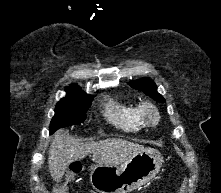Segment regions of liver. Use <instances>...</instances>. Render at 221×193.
Masks as SVG:
<instances>
[{
  "mask_svg": "<svg viewBox=\"0 0 221 193\" xmlns=\"http://www.w3.org/2000/svg\"><path fill=\"white\" fill-rule=\"evenodd\" d=\"M144 149L140 144L116 138L83 143L59 130L53 135L48 151L49 172L55 181L60 182L71 163L90 153L97 165L118 166Z\"/></svg>",
  "mask_w": 221,
  "mask_h": 193,
  "instance_id": "obj_1",
  "label": "liver"
}]
</instances>
